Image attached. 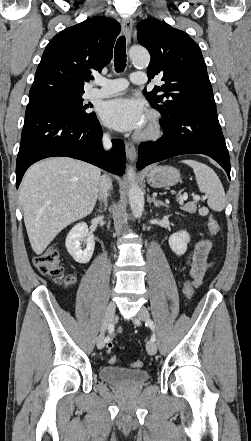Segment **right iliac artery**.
<instances>
[{
	"instance_id": "right-iliac-artery-1",
	"label": "right iliac artery",
	"mask_w": 251,
	"mask_h": 441,
	"mask_svg": "<svg viewBox=\"0 0 251 441\" xmlns=\"http://www.w3.org/2000/svg\"><path fill=\"white\" fill-rule=\"evenodd\" d=\"M114 331V325L113 324H110L109 326H108V332H109V334H112V332ZM110 340V336L108 335L106 338H105V342H108Z\"/></svg>"
}]
</instances>
